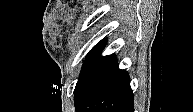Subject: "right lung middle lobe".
<instances>
[{
  "instance_id": "1",
  "label": "right lung middle lobe",
  "mask_w": 193,
  "mask_h": 112,
  "mask_svg": "<svg viewBox=\"0 0 193 112\" xmlns=\"http://www.w3.org/2000/svg\"><path fill=\"white\" fill-rule=\"evenodd\" d=\"M106 45V39L100 41L96 46L92 48V50L89 52L87 56V60L84 63L81 74L84 72V70L87 68V66L90 64V62L103 50L104 46ZM80 74V76H81Z\"/></svg>"
}]
</instances>
